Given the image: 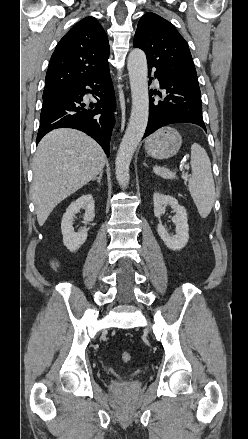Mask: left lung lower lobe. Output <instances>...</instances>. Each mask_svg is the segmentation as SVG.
Segmentation results:
<instances>
[{
    "label": "left lung lower lobe",
    "instance_id": "obj_1",
    "mask_svg": "<svg viewBox=\"0 0 248 439\" xmlns=\"http://www.w3.org/2000/svg\"><path fill=\"white\" fill-rule=\"evenodd\" d=\"M153 67L148 64L149 75ZM154 76L160 82L163 92L149 91V119L143 138L173 123H192L201 126L206 131L202 117L199 85L179 79L159 69L155 70ZM153 94L163 96V99L156 101L151 97Z\"/></svg>",
    "mask_w": 248,
    "mask_h": 439
}]
</instances>
